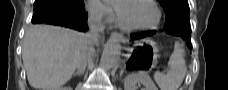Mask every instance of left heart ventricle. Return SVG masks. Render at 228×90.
Wrapping results in <instances>:
<instances>
[{
    "label": "left heart ventricle",
    "instance_id": "left-heart-ventricle-1",
    "mask_svg": "<svg viewBox=\"0 0 228 90\" xmlns=\"http://www.w3.org/2000/svg\"><path fill=\"white\" fill-rule=\"evenodd\" d=\"M121 11L127 23L134 26H151L157 19L154 6L146 0L127 3L121 7Z\"/></svg>",
    "mask_w": 228,
    "mask_h": 90
}]
</instances>
